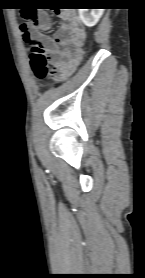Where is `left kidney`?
Returning a JSON list of instances; mask_svg holds the SVG:
<instances>
[{"instance_id":"5707ae66","label":"left kidney","mask_w":145,"mask_h":278,"mask_svg":"<svg viewBox=\"0 0 145 278\" xmlns=\"http://www.w3.org/2000/svg\"><path fill=\"white\" fill-rule=\"evenodd\" d=\"M82 22L87 27H93L101 18L104 9H78Z\"/></svg>"}]
</instances>
